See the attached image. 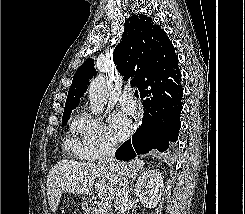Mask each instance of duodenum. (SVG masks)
<instances>
[{"instance_id":"1","label":"duodenum","mask_w":245,"mask_h":214,"mask_svg":"<svg viewBox=\"0 0 245 214\" xmlns=\"http://www.w3.org/2000/svg\"><path fill=\"white\" fill-rule=\"evenodd\" d=\"M86 204H87V209L91 210L92 209V203L90 201H87Z\"/></svg>"}]
</instances>
